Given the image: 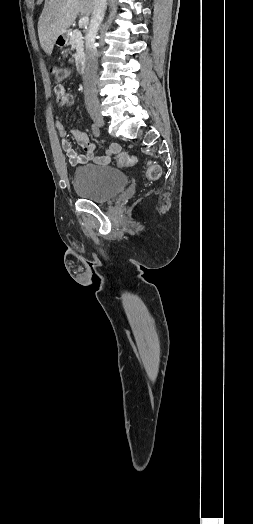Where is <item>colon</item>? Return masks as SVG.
Listing matches in <instances>:
<instances>
[{
    "label": "colon",
    "instance_id": "1",
    "mask_svg": "<svg viewBox=\"0 0 253 524\" xmlns=\"http://www.w3.org/2000/svg\"><path fill=\"white\" fill-rule=\"evenodd\" d=\"M64 60L68 66H71L75 60V57L73 54L68 53L65 55ZM70 72V69L64 66L52 65L50 67V74L55 81V88L57 90L62 89L63 83L69 77ZM137 161L138 157L128 152H119L116 155V164L119 167L133 166L137 163ZM146 175L150 180H157L161 176V168L155 163H150L148 165Z\"/></svg>",
    "mask_w": 253,
    "mask_h": 524
}]
</instances>
